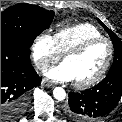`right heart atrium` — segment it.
Instances as JSON below:
<instances>
[{"instance_id": "1", "label": "right heart atrium", "mask_w": 122, "mask_h": 122, "mask_svg": "<svg viewBox=\"0 0 122 122\" xmlns=\"http://www.w3.org/2000/svg\"><path fill=\"white\" fill-rule=\"evenodd\" d=\"M61 57L54 38L50 34H40L32 46V58L36 67L44 71Z\"/></svg>"}]
</instances>
